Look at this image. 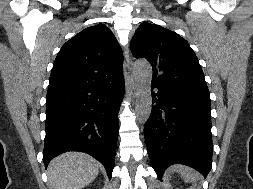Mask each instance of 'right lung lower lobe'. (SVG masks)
<instances>
[{
  "label": "right lung lower lobe",
  "instance_id": "obj_1",
  "mask_svg": "<svg viewBox=\"0 0 253 189\" xmlns=\"http://www.w3.org/2000/svg\"><path fill=\"white\" fill-rule=\"evenodd\" d=\"M124 88L122 74L98 84L48 89L45 166L62 152L82 151L99 160L111 178Z\"/></svg>",
  "mask_w": 253,
  "mask_h": 189
}]
</instances>
